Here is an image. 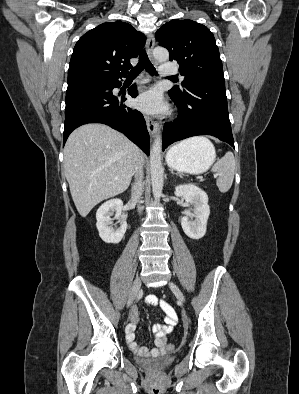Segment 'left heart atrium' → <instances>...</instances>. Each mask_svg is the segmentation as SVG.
<instances>
[{"label": "left heart atrium", "instance_id": "left-heart-atrium-1", "mask_svg": "<svg viewBox=\"0 0 299 394\" xmlns=\"http://www.w3.org/2000/svg\"><path fill=\"white\" fill-rule=\"evenodd\" d=\"M135 105L140 110L150 114H157L165 109L162 95L157 89H151L141 94L136 99Z\"/></svg>", "mask_w": 299, "mask_h": 394}]
</instances>
